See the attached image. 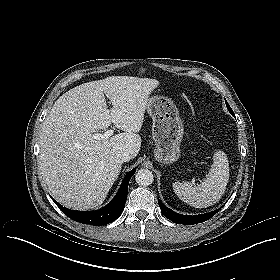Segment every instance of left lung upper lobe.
<instances>
[{
  "label": "left lung upper lobe",
  "mask_w": 280,
  "mask_h": 280,
  "mask_svg": "<svg viewBox=\"0 0 280 280\" xmlns=\"http://www.w3.org/2000/svg\"><path fill=\"white\" fill-rule=\"evenodd\" d=\"M225 102H226V107H227V109L229 110V112L233 115V116H235L234 115V113H233V111H232V109H231V107H230V105L228 104V102L225 100Z\"/></svg>",
  "instance_id": "5c2ea615"
}]
</instances>
